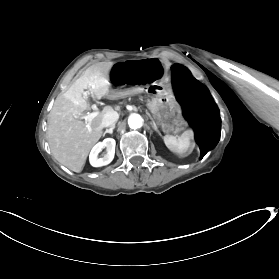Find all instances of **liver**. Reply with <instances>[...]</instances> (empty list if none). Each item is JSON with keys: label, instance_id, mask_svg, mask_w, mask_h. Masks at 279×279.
Segmentation results:
<instances>
[{"label": "liver", "instance_id": "6515ba94", "mask_svg": "<svg viewBox=\"0 0 279 279\" xmlns=\"http://www.w3.org/2000/svg\"><path fill=\"white\" fill-rule=\"evenodd\" d=\"M109 69L91 66L71 87L59 94L48 114L47 140L54 158L74 172H81L92 146L102 136V119L106 106L90 123L81 120L84 111L89 108L82 96L89 89L93 98L101 99L109 93Z\"/></svg>", "mask_w": 279, "mask_h": 279}]
</instances>
